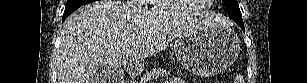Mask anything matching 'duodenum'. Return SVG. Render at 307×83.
I'll return each instance as SVG.
<instances>
[{
    "instance_id": "obj_1",
    "label": "duodenum",
    "mask_w": 307,
    "mask_h": 83,
    "mask_svg": "<svg viewBox=\"0 0 307 83\" xmlns=\"http://www.w3.org/2000/svg\"><path fill=\"white\" fill-rule=\"evenodd\" d=\"M131 69H130V73L132 74V75H134V71H132V69H133V67H130Z\"/></svg>"
}]
</instances>
